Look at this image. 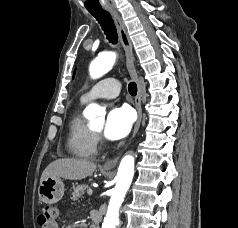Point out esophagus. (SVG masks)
Wrapping results in <instances>:
<instances>
[{
  "label": "esophagus",
  "instance_id": "1",
  "mask_svg": "<svg viewBox=\"0 0 238 228\" xmlns=\"http://www.w3.org/2000/svg\"><path fill=\"white\" fill-rule=\"evenodd\" d=\"M109 13L111 14L114 23L116 25L118 34H119V38L121 41V44L125 50V54H126V64H127V68L128 71L131 75V77L134 79V81L137 84V95L135 97V107L138 113V118L136 121V124L134 126V130L132 133V137L131 139L136 135L140 124H141V120H142V108H141V98H142V84L141 81L138 77L135 65H134V56H133V49H132V44H131V40L129 38V35L127 33L125 24L121 18V16L119 15L118 11L114 8V7H110L108 8ZM120 158V155H118L117 157L107 161L104 165L103 168L104 169H113L115 168V166L117 165V162Z\"/></svg>",
  "mask_w": 238,
  "mask_h": 228
}]
</instances>
